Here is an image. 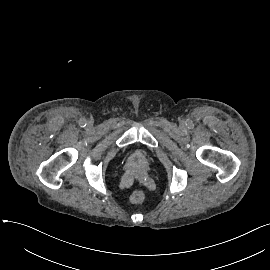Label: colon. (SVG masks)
Segmentation results:
<instances>
[{
    "instance_id": "colon-1",
    "label": "colon",
    "mask_w": 270,
    "mask_h": 270,
    "mask_svg": "<svg viewBox=\"0 0 270 270\" xmlns=\"http://www.w3.org/2000/svg\"><path fill=\"white\" fill-rule=\"evenodd\" d=\"M145 197H146L145 190L143 188H138L131 193L129 201L132 204H139L145 199Z\"/></svg>"
}]
</instances>
